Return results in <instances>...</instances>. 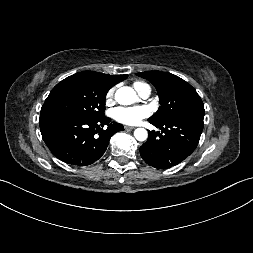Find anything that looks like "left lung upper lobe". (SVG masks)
Masks as SVG:
<instances>
[{"label":"left lung upper lobe","mask_w":253,"mask_h":253,"mask_svg":"<svg viewBox=\"0 0 253 253\" xmlns=\"http://www.w3.org/2000/svg\"><path fill=\"white\" fill-rule=\"evenodd\" d=\"M149 80L157 89L160 107L148 120L165 123L192 112H205L203 102L196 90L180 77L162 71L137 73Z\"/></svg>","instance_id":"5c2ea615"}]
</instances>
